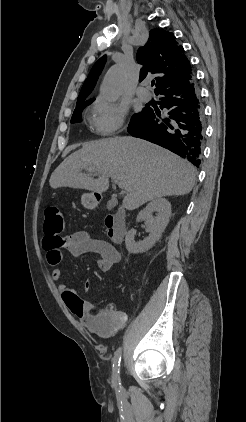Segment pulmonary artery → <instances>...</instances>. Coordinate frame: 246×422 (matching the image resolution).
Instances as JSON below:
<instances>
[{
  "label": "pulmonary artery",
  "instance_id": "obj_1",
  "mask_svg": "<svg viewBox=\"0 0 246 422\" xmlns=\"http://www.w3.org/2000/svg\"><path fill=\"white\" fill-rule=\"evenodd\" d=\"M136 94L142 101L147 102L151 99V93L146 88V83H143L141 86L138 87Z\"/></svg>",
  "mask_w": 246,
  "mask_h": 422
}]
</instances>
